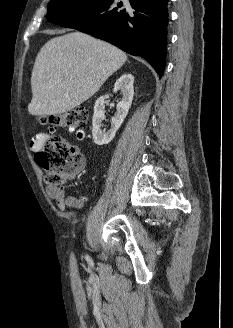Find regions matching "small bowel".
Masks as SVG:
<instances>
[{"mask_svg":"<svg viewBox=\"0 0 233 328\" xmlns=\"http://www.w3.org/2000/svg\"><path fill=\"white\" fill-rule=\"evenodd\" d=\"M48 137L46 133L36 135L30 143L31 149L34 151L40 149ZM47 193L52 200L56 201L61 211L65 210L67 207H80L83 203L81 199L66 196L64 190L56 186L48 187Z\"/></svg>","mask_w":233,"mask_h":328,"instance_id":"c3829d8e","label":"small bowel"}]
</instances>
